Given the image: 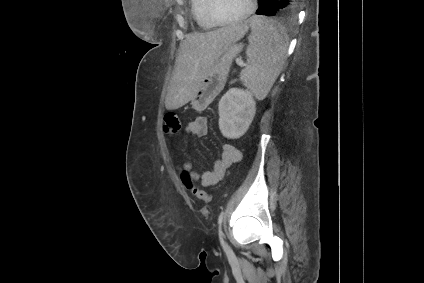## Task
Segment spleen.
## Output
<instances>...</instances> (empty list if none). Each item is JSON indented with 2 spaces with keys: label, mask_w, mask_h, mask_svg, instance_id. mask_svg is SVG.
<instances>
[{
  "label": "spleen",
  "mask_w": 424,
  "mask_h": 283,
  "mask_svg": "<svg viewBox=\"0 0 424 283\" xmlns=\"http://www.w3.org/2000/svg\"><path fill=\"white\" fill-rule=\"evenodd\" d=\"M250 27L247 66L240 80L257 98L264 99L283 68L289 37L285 27L273 20L253 17Z\"/></svg>",
  "instance_id": "spleen-1"
}]
</instances>
